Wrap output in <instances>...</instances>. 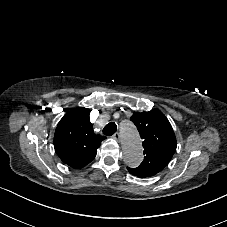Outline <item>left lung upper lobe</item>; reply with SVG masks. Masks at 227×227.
<instances>
[{"label": "left lung upper lobe", "mask_w": 227, "mask_h": 227, "mask_svg": "<svg viewBox=\"0 0 227 227\" xmlns=\"http://www.w3.org/2000/svg\"><path fill=\"white\" fill-rule=\"evenodd\" d=\"M131 121L136 125L144 148V160L137 168H127L140 178L156 175L167 166L177 146L172 126L158 109L135 112Z\"/></svg>", "instance_id": "1"}]
</instances>
